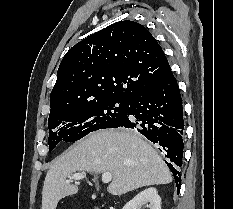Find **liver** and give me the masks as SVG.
I'll return each instance as SVG.
<instances>
[{
	"instance_id": "liver-1",
	"label": "liver",
	"mask_w": 233,
	"mask_h": 209,
	"mask_svg": "<svg viewBox=\"0 0 233 209\" xmlns=\"http://www.w3.org/2000/svg\"><path fill=\"white\" fill-rule=\"evenodd\" d=\"M76 172H110L112 182L107 190L115 196L173 180L165 162L142 136L132 130H100L76 143L50 167L42 209H56L62 198L78 192L77 185L66 183Z\"/></svg>"
}]
</instances>
